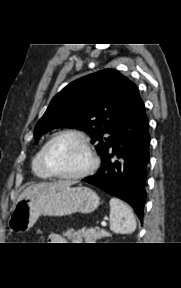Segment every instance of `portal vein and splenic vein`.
I'll return each mask as SVG.
<instances>
[{
	"instance_id": "1",
	"label": "portal vein and splenic vein",
	"mask_w": 181,
	"mask_h": 288,
	"mask_svg": "<svg viewBox=\"0 0 181 288\" xmlns=\"http://www.w3.org/2000/svg\"><path fill=\"white\" fill-rule=\"evenodd\" d=\"M101 225H102V227H106V222L103 221V222L101 223Z\"/></svg>"
}]
</instances>
